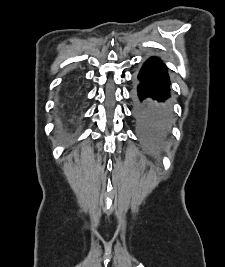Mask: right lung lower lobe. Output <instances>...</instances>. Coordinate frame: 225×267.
Returning a JSON list of instances; mask_svg holds the SVG:
<instances>
[{"label":"right lung lower lobe","mask_w":225,"mask_h":267,"mask_svg":"<svg viewBox=\"0 0 225 267\" xmlns=\"http://www.w3.org/2000/svg\"><path fill=\"white\" fill-rule=\"evenodd\" d=\"M76 82H77V80H74V81H73V84H76Z\"/></svg>","instance_id":"1"}]
</instances>
